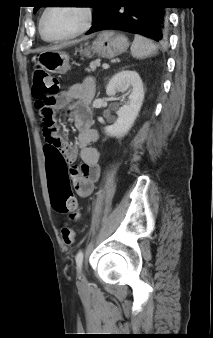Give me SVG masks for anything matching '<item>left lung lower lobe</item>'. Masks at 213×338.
<instances>
[{"label": "left lung lower lobe", "instance_id": "obj_1", "mask_svg": "<svg viewBox=\"0 0 213 338\" xmlns=\"http://www.w3.org/2000/svg\"><path fill=\"white\" fill-rule=\"evenodd\" d=\"M95 21L87 32L121 30L165 43L168 8L162 0H102ZM129 4V5H128Z\"/></svg>", "mask_w": 213, "mask_h": 338}]
</instances>
